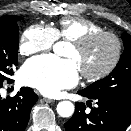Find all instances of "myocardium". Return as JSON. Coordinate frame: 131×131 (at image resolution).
Segmentation results:
<instances>
[{
  "mask_svg": "<svg viewBox=\"0 0 131 131\" xmlns=\"http://www.w3.org/2000/svg\"><path fill=\"white\" fill-rule=\"evenodd\" d=\"M108 38L110 39L113 44H114V54L112 56V59L110 62L107 64L105 68H103L101 71L97 73H86L81 71L82 76L90 81H98L106 76H108L118 65L121 54H122V42L120 38L113 32L110 31H105V30H100V31H95V32H90L74 41H72V45L82 49L86 46H88L90 43L95 41L98 38Z\"/></svg>",
  "mask_w": 131,
  "mask_h": 131,
  "instance_id": "obj_1",
  "label": "myocardium"
}]
</instances>
